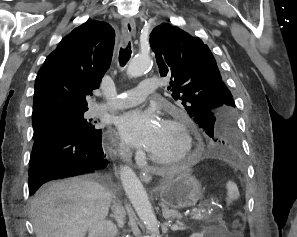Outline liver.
Returning <instances> with one entry per match:
<instances>
[{
  "label": "liver",
  "mask_w": 297,
  "mask_h": 237,
  "mask_svg": "<svg viewBox=\"0 0 297 237\" xmlns=\"http://www.w3.org/2000/svg\"><path fill=\"white\" fill-rule=\"evenodd\" d=\"M112 192L89 177L51 182L30 202L36 237H85L109 212Z\"/></svg>",
  "instance_id": "liver-1"
}]
</instances>
